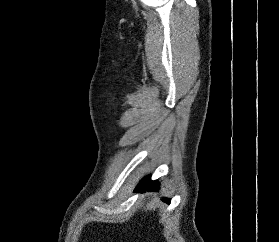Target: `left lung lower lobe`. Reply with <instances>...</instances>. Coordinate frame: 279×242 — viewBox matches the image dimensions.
I'll list each match as a JSON object with an SVG mask.
<instances>
[{
    "instance_id": "obj_1",
    "label": "left lung lower lobe",
    "mask_w": 279,
    "mask_h": 242,
    "mask_svg": "<svg viewBox=\"0 0 279 242\" xmlns=\"http://www.w3.org/2000/svg\"><path fill=\"white\" fill-rule=\"evenodd\" d=\"M158 182L150 181L149 177L144 178L136 187L135 191H146V190H157ZM165 202L170 203V200H165Z\"/></svg>"
}]
</instances>
